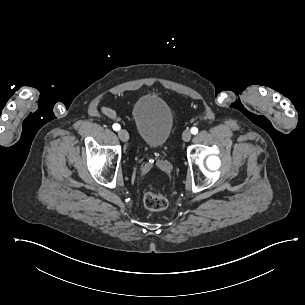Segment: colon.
<instances>
[{"instance_id":"1","label":"colon","mask_w":305,"mask_h":305,"mask_svg":"<svg viewBox=\"0 0 305 305\" xmlns=\"http://www.w3.org/2000/svg\"><path fill=\"white\" fill-rule=\"evenodd\" d=\"M144 205L151 211L164 210L168 205L166 196L159 192L148 191L143 198Z\"/></svg>"}]
</instances>
